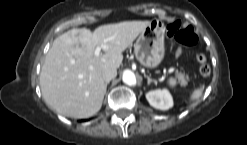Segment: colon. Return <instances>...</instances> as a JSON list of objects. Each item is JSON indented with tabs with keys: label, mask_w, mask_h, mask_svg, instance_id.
I'll return each mask as SVG.
<instances>
[{
	"label": "colon",
	"mask_w": 247,
	"mask_h": 145,
	"mask_svg": "<svg viewBox=\"0 0 247 145\" xmlns=\"http://www.w3.org/2000/svg\"><path fill=\"white\" fill-rule=\"evenodd\" d=\"M166 34L184 46H194L198 42L197 35L192 27H183L181 21L175 20L167 26ZM196 59L200 64L199 72L203 78H207L211 73V68L207 63V58L203 53H198Z\"/></svg>",
	"instance_id": "5ec220e1"
}]
</instances>
